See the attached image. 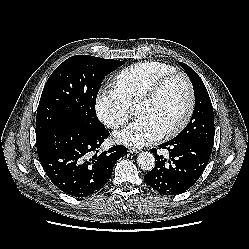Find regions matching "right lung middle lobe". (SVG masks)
<instances>
[{"label":"right lung middle lobe","instance_id":"right-lung-middle-lobe-1","mask_svg":"<svg viewBox=\"0 0 249 249\" xmlns=\"http://www.w3.org/2000/svg\"><path fill=\"white\" fill-rule=\"evenodd\" d=\"M123 61L76 55L60 64L47 80L36 117V137L67 125L105 129L95 111L97 93L106 75Z\"/></svg>","mask_w":249,"mask_h":249}]
</instances>
